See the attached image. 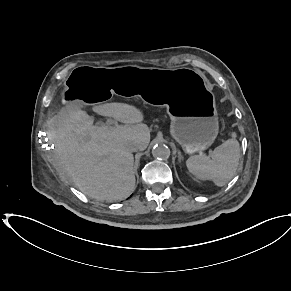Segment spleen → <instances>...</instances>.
Here are the masks:
<instances>
[{
  "label": "spleen",
  "instance_id": "1",
  "mask_svg": "<svg viewBox=\"0 0 291 291\" xmlns=\"http://www.w3.org/2000/svg\"><path fill=\"white\" fill-rule=\"evenodd\" d=\"M240 160V146L236 133L216 147L211 156L194 155L187 159L186 166L199 180H212L217 186H224L235 175Z\"/></svg>",
  "mask_w": 291,
  "mask_h": 291
}]
</instances>
